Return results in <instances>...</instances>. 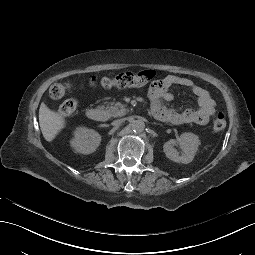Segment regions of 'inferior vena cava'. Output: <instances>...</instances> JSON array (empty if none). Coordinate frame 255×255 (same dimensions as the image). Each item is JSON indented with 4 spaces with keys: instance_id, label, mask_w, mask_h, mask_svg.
<instances>
[{
    "instance_id": "602c4592",
    "label": "inferior vena cava",
    "mask_w": 255,
    "mask_h": 255,
    "mask_svg": "<svg viewBox=\"0 0 255 255\" xmlns=\"http://www.w3.org/2000/svg\"><path fill=\"white\" fill-rule=\"evenodd\" d=\"M121 123V120H115L112 122V125L116 126L119 125Z\"/></svg>"
}]
</instances>
